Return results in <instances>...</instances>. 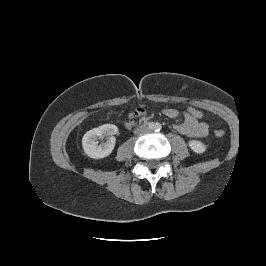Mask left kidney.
<instances>
[{"instance_id":"1","label":"left kidney","mask_w":266,"mask_h":266,"mask_svg":"<svg viewBox=\"0 0 266 266\" xmlns=\"http://www.w3.org/2000/svg\"><path fill=\"white\" fill-rule=\"evenodd\" d=\"M188 145L195 153L200 154L206 151V145L201 141L191 140L189 141Z\"/></svg>"}]
</instances>
